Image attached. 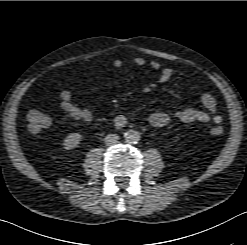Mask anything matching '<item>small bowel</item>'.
<instances>
[{
	"instance_id": "small-bowel-1",
	"label": "small bowel",
	"mask_w": 247,
	"mask_h": 245,
	"mask_svg": "<svg viewBox=\"0 0 247 245\" xmlns=\"http://www.w3.org/2000/svg\"><path fill=\"white\" fill-rule=\"evenodd\" d=\"M133 63L142 67L147 64L146 60L142 57H134ZM148 65L154 70H160V82L167 83L173 76V70L169 67H162L160 62L151 60ZM115 71L120 74L123 70V64L120 60L113 63ZM60 105L63 111L69 114L75 120L90 122L93 118L91 110L88 108L80 107L72 101V94L68 90H63L60 93ZM203 106L207 111L199 110L196 108H184L174 114V118L183 123H206L212 120L215 124H220L222 117L216 114L217 102L215 97L210 93H205L201 97ZM171 121V116L166 112H155L149 116V123L156 128L167 126Z\"/></svg>"
}]
</instances>
